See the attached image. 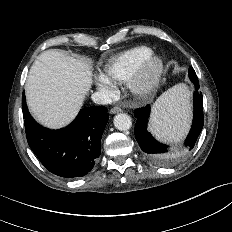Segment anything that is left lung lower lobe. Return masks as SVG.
<instances>
[{
  "mask_svg": "<svg viewBox=\"0 0 232 232\" xmlns=\"http://www.w3.org/2000/svg\"><path fill=\"white\" fill-rule=\"evenodd\" d=\"M189 79L195 86L194 92V117L191 130L185 140V147L187 151H190L202 131L204 124L203 117V101L202 93L198 92L199 82L197 75L192 67L189 69ZM150 114V105L138 108L134 111V115L137 118L135 124V138L145 153L151 161L157 164H167L172 160L178 159L184 155L183 152L177 153L175 155H165L167 152V146L156 141L153 136L147 131V123Z\"/></svg>",
  "mask_w": 232,
  "mask_h": 232,
  "instance_id": "left-lung-lower-lobe-1",
  "label": "left lung lower lobe"
}]
</instances>
